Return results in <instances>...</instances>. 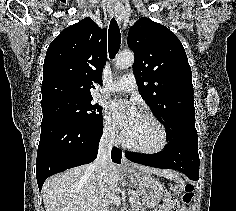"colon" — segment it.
I'll return each instance as SVG.
<instances>
[{
  "mask_svg": "<svg viewBox=\"0 0 236 211\" xmlns=\"http://www.w3.org/2000/svg\"><path fill=\"white\" fill-rule=\"evenodd\" d=\"M172 190L181 194V201L184 205H189L194 197V188L189 183H178L172 187Z\"/></svg>",
  "mask_w": 236,
  "mask_h": 211,
  "instance_id": "colon-1",
  "label": "colon"
}]
</instances>
